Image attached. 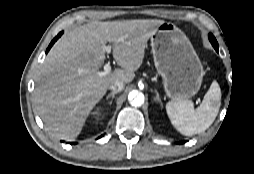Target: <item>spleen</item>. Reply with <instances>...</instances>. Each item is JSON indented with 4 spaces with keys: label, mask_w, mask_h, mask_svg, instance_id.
Wrapping results in <instances>:
<instances>
[{
    "label": "spleen",
    "mask_w": 254,
    "mask_h": 174,
    "mask_svg": "<svg viewBox=\"0 0 254 174\" xmlns=\"http://www.w3.org/2000/svg\"><path fill=\"white\" fill-rule=\"evenodd\" d=\"M221 105V90L214 81L202 103L194 109L190 100H174L168 102L166 111L172 125L183 135L192 136L207 130L215 121Z\"/></svg>",
    "instance_id": "3e777b00"
}]
</instances>
